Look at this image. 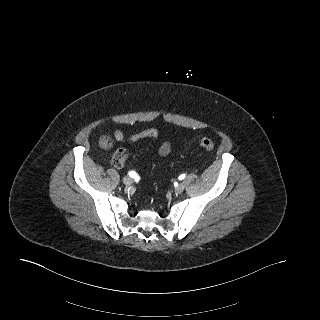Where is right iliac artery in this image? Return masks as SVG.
<instances>
[{"instance_id": "obj_1", "label": "right iliac artery", "mask_w": 320, "mask_h": 320, "mask_svg": "<svg viewBox=\"0 0 320 320\" xmlns=\"http://www.w3.org/2000/svg\"><path fill=\"white\" fill-rule=\"evenodd\" d=\"M129 176H130L131 178H133V177H135V176H136V173H135V172H133V171H131V172H129Z\"/></svg>"}]
</instances>
